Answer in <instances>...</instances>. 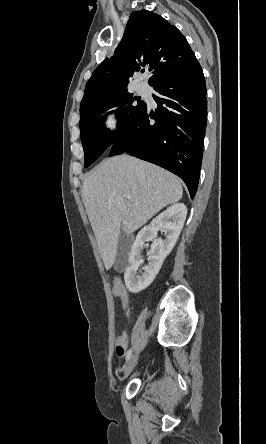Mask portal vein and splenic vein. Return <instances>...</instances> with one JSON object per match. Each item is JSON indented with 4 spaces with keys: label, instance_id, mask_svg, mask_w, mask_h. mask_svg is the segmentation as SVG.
Wrapping results in <instances>:
<instances>
[{
    "label": "portal vein and splenic vein",
    "instance_id": "1",
    "mask_svg": "<svg viewBox=\"0 0 266 444\" xmlns=\"http://www.w3.org/2000/svg\"><path fill=\"white\" fill-rule=\"evenodd\" d=\"M126 199H127V200H131V196L127 195V196H126Z\"/></svg>",
    "mask_w": 266,
    "mask_h": 444
}]
</instances>
